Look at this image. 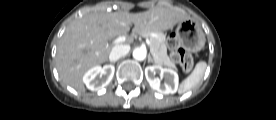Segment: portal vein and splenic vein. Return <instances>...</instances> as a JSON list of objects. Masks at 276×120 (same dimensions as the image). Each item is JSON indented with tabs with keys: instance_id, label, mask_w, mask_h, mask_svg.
Wrapping results in <instances>:
<instances>
[{
	"instance_id": "1",
	"label": "portal vein and splenic vein",
	"mask_w": 276,
	"mask_h": 120,
	"mask_svg": "<svg viewBox=\"0 0 276 120\" xmlns=\"http://www.w3.org/2000/svg\"><path fill=\"white\" fill-rule=\"evenodd\" d=\"M126 40V38L124 36H119L117 37L114 41H113V44H119V43H122ZM147 44L150 46L151 43L149 40H147Z\"/></svg>"
}]
</instances>
